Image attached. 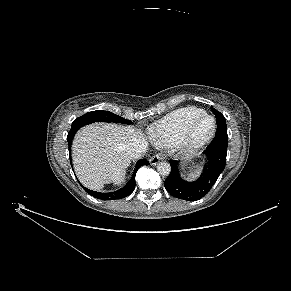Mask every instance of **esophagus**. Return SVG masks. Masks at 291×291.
Listing matches in <instances>:
<instances>
[{
    "instance_id": "esophagus-1",
    "label": "esophagus",
    "mask_w": 291,
    "mask_h": 291,
    "mask_svg": "<svg viewBox=\"0 0 291 291\" xmlns=\"http://www.w3.org/2000/svg\"><path fill=\"white\" fill-rule=\"evenodd\" d=\"M165 159L164 155L159 153V154H156L154 155L153 157H151L150 159V164L151 165H156L159 161Z\"/></svg>"
}]
</instances>
